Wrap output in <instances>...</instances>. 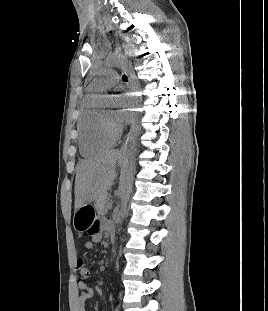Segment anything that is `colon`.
I'll list each match as a JSON object with an SVG mask.
<instances>
[{
	"instance_id": "obj_1",
	"label": "colon",
	"mask_w": 268,
	"mask_h": 311,
	"mask_svg": "<svg viewBox=\"0 0 268 311\" xmlns=\"http://www.w3.org/2000/svg\"><path fill=\"white\" fill-rule=\"evenodd\" d=\"M78 269H79V273L83 278H87L90 274L89 269L85 266L84 264V259L82 257H80L78 259Z\"/></svg>"
}]
</instances>
